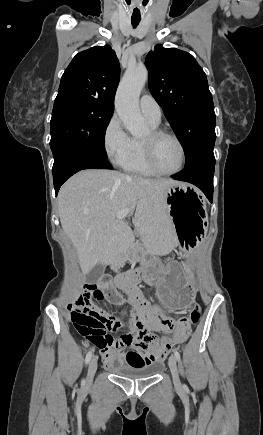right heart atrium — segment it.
Here are the masks:
<instances>
[{
    "instance_id": "d8ad5b80",
    "label": "right heart atrium",
    "mask_w": 263,
    "mask_h": 435,
    "mask_svg": "<svg viewBox=\"0 0 263 435\" xmlns=\"http://www.w3.org/2000/svg\"><path fill=\"white\" fill-rule=\"evenodd\" d=\"M132 138L128 135L120 118L114 114L109 119L103 132V146L108 158L116 165L122 166L129 157Z\"/></svg>"
}]
</instances>
